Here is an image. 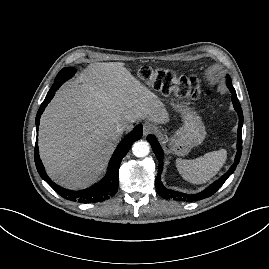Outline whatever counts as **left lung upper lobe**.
<instances>
[{
  "label": "left lung upper lobe",
  "instance_id": "left-lung-upper-lobe-1",
  "mask_svg": "<svg viewBox=\"0 0 269 269\" xmlns=\"http://www.w3.org/2000/svg\"><path fill=\"white\" fill-rule=\"evenodd\" d=\"M226 82H231L228 76L226 78Z\"/></svg>",
  "mask_w": 269,
  "mask_h": 269
}]
</instances>
